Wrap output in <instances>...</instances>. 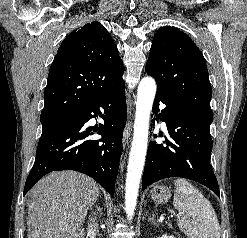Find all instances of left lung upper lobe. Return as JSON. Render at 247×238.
Instances as JSON below:
<instances>
[{"label": "left lung upper lobe", "instance_id": "1", "mask_svg": "<svg viewBox=\"0 0 247 238\" xmlns=\"http://www.w3.org/2000/svg\"><path fill=\"white\" fill-rule=\"evenodd\" d=\"M157 83V92L213 121L210 107L212 90L201 51L188 35L165 26L155 34L145 68Z\"/></svg>", "mask_w": 247, "mask_h": 238}]
</instances>
